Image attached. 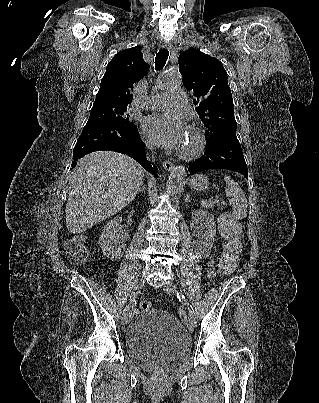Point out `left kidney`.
<instances>
[{"instance_id":"1","label":"left kidney","mask_w":319,"mask_h":403,"mask_svg":"<svg viewBox=\"0 0 319 403\" xmlns=\"http://www.w3.org/2000/svg\"><path fill=\"white\" fill-rule=\"evenodd\" d=\"M192 222L194 224L204 223V233L201 241L194 242L195 254L198 258H206L211 253V248L214 243V237L216 235V225L214 222V217L205 210H195L192 213Z\"/></svg>"}]
</instances>
